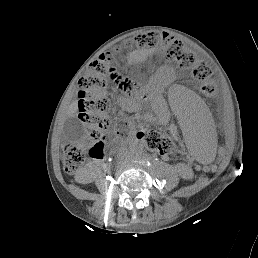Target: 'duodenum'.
<instances>
[{"instance_id": "duodenum-1", "label": "duodenum", "mask_w": 258, "mask_h": 258, "mask_svg": "<svg viewBox=\"0 0 258 258\" xmlns=\"http://www.w3.org/2000/svg\"><path fill=\"white\" fill-rule=\"evenodd\" d=\"M89 156L93 159H97L98 157H101V156H98L97 152L94 150V149H91L89 150Z\"/></svg>"}]
</instances>
